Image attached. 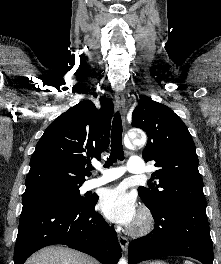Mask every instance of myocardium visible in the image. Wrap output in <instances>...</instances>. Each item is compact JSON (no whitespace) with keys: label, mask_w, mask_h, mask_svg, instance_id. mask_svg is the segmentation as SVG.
Segmentation results:
<instances>
[{"label":"myocardium","mask_w":221,"mask_h":264,"mask_svg":"<svg viewBox=\"0 0 221 264\" xmlns=\"http://www.w3.org/2000/svg\"><path fill=\"white\" fill-rule=\"evenodd\" d=\"M153 226L154 219L151 212L146 208H142L132 228V233L135 235H144L150 232Z\"/></svg>","instance_id":"obj_1"}]
</instances>
